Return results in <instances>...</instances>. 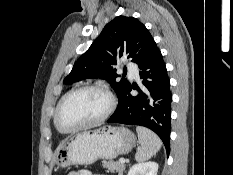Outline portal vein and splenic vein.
I'll return each mask as SVG.
<instances>
[{"mask_svg":"<svg viewBox=\"0 0 233 175\" xmlns=\"http://www.w3.org/2000/svg\"><path fill=\"white\" fill-rule=\"evenodd\" d=\"M119 162H120L121 164H124V163H125V159H124V158H120Z\"/></svg>","mask_w":233,"mask_h":175,"instance_id":"1","label":"portal vein and splenic vein"}]
</instances>
